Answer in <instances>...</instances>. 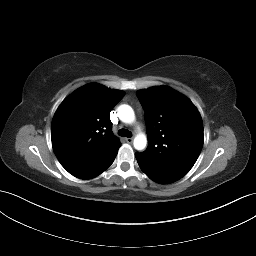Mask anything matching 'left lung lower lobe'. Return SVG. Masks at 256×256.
Wrapping results in <instances>:
<instances>
[{"label": "left lung lower lobe", "instance_id": "left-lung-lower-lobe-1", "mask_svg": "<svg viewBox=\"0 0 256 256\" xmlns=\"http://www.w3.org/2000/svg\"><path fill=\"white\" fill-rule=\"evenodd\" d=\"M137 162L141 168V170L153 181L160 183V184H168L177 181L179 178L164 175L155 171H152L147 167V165L143 162V160L140 158L139 153L135 154Z\"/></svg>", "mask_w": 256, "mask_h": 256}]
</instances>
